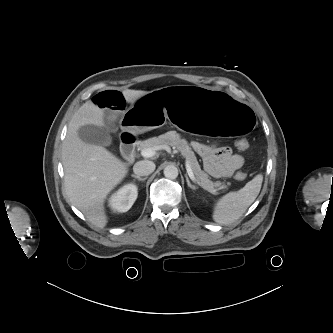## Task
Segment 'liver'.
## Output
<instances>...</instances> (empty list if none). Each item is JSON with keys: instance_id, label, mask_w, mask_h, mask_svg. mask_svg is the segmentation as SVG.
<instances>
[{"instance_id": "liver-1", "label": "liver", "mask_w": 333, "mask_h": 333, "mask_svg": "<svg viewBox=\"0 0 333 333\" xmlns=\"http://www.w3.org/2000/svg\"><path fill=\"white\" fill-rule=\"evenodd\" d=\"M143 90L122 91L128 103L147 94ZM85 125L105 126L104 110L92 101L83 104L73 115L62 145L64 193L97 227L107 224L104 201L108 193L126 176L124 162L102 146L84 142L78 135Z\"/></svg>"}]
</instances>
